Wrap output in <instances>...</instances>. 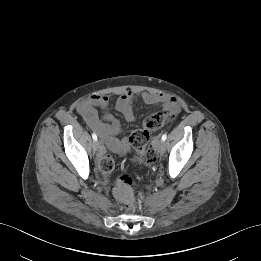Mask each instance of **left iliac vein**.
<instances>
[{
	"label": "left iliac vein",
	"instance_id": "4c4485c4",
	"mask_svg": "<svg viewBox=\"0 0 261 261\" xmlns=\"http://www.w3.org/2000/svg\"><path fill=\"white\" fill-rule=\"evenodd\" d=\"M156 148L159 153H163L165 150V142L162 140L158 141L156 144Z\"/></svg>",
	"mask_w": 261,
	"mask_h": 261
}]
</instances>
